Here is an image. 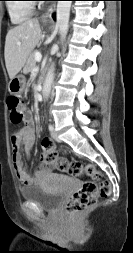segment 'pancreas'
Returning <instances> with one entry per match:
<instances>
[{"label":"pancreas","instance_id":"1","mask_svg":"<svg viewBox=\"0 0 133 253\" xmlns=\"http://www.w3.org/2000/svg\"><path fill=\"white\" fill-rule=\"evenodd\" d=\"M35 53H36L35 51H32L28 56L27 62L23 69V72L25 74H28L29 72H31L36 65Z\"/></svg>","mask_w":133,"mask_h":253}]
</instances>
